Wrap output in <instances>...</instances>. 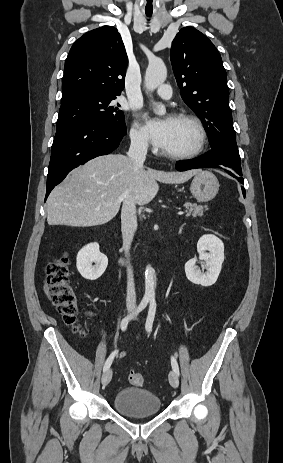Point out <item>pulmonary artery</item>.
I'll return each instance as SVG.
<instances>
[{"label": "pulmonary artery", "instance_id": "e3ab8cb5", "mask_svg": "<svg viewBox=\"0 0 283 463\" xmlns=\"http://www.w3.org/2000/svg\"><path fill=\"white\" fill-rule=\"evenodd\" d=\"M156 92H157V95L162 99L170 100L172 98L171 87L169 85H167V84L161 85L157 89Z\"/></svg>", "mask_w": 283, "mask_h": 463}]
</instances>
